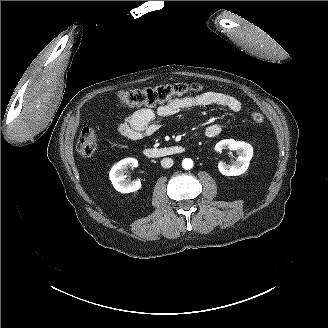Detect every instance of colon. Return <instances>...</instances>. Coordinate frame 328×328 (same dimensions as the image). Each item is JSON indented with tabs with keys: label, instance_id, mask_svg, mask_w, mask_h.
Segmentation results:
<instances>
[{
	"label": "colon",
	"instance_id": "1",
	"mask_svg": "<svg viewBox=\"0 0 328 328\" xmlns=\"http://www.w3.org/2000/svg\"><path fill=\"white\" fill-rule=\"evenodd\" d=\"M201 90L202 86L198 83H176L154 88L121 91L118 94V98L122 104L131 107L153 106L163 103L174 96H182ZM251 118L257 124H262L265 120L264 116L259 112H253ZM96 146V133L94 129L91 127L83 128L77 140L78 152L84 157H90L94 154Z\"/></svg>",
	"mask_w": 328,
	"mask_h": 328
}]
</instances>
